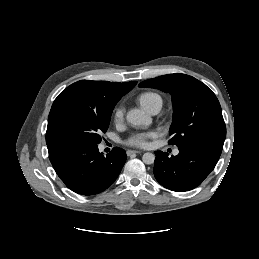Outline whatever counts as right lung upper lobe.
Returning a JSON list of instances; mask_svg holds the SVG:
<instances>
[{
  "label": "right lung upper lobe",
  "instance_id": "obj_1",
  "mask_svg": "<svg viewBox=\"0 0 259 259\" xmlns=\"http://www.w3.org/2000/svg\"><path fill=\"white\" fill-rule=\"evenodd\" d=\"M136 83L81 80L63 90L55 99L52 108L63 101H77L98 109L113 110L121 97Z\"/></svg>",
  "mask_w": 259,
  "mask_h": 259
}]
</instances>
